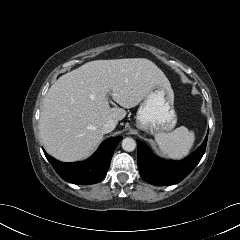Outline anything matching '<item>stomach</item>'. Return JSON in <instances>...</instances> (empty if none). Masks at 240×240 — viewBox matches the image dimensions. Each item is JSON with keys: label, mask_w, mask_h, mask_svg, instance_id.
Here are the masks:
<instances>
[{"label": "stomach", "mask_w": 240, "mask_h": 240, "mask_svg": "<svg viewBox=\"0 0 240 240\" xmlns=\"http://www.w3.org/2000/svg\"><path fill=\"white\" fill-rule=\"evenodd\" d=\"M176 123L172 89L163 85L155 86L139 106L136 127L150 134H157L171 131Z\"/></svg>", "instance_id": "obj_1"}]
</instances>
